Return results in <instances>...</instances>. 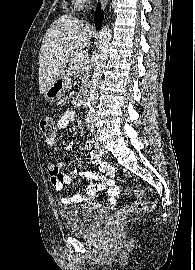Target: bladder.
<instances>
[{"label": "bladder", "mask_w": 195, "mask_h": 270, "mask_svg": "<svg viewBox=\"0 0 195 270\" xmlns=\"http://www.w3.org/2000/svg\"><path fill=\"white\" fill-rule=\"evenodd\" d=\"M59 216L67 233L89 235L98 218V209L91 204L61 207Z\"/></svg>", "instance_id": "obj_1"}]
</instances>
